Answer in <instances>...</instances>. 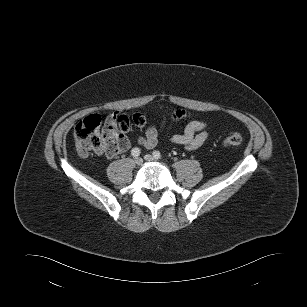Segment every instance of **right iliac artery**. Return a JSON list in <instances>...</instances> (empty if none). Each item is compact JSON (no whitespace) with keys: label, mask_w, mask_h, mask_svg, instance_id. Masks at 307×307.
Listing matches in <instances>:
<instances>
[{"label":"right iliac artery","mask_w":307,"mask_h":307,"mask_svg":"<svg viewBox=\"0 0 307 307\" xmlns=\"http://www.w3.org/2000/svg\"><path fill=\"white\" fill-rule=\"evenodd\" d=\"M131 154L133 157H138L140 155V149L135 147L131 150Z\"/></svg>","instance_id":"82829eb1"}]
</instances>
